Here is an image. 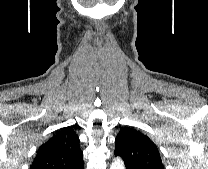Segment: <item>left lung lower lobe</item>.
I'll list each match as a JSON object with an SVG mask.
<instances>
[{
  "label": "left lung lower lobe",
  "instance_id": "1",
  "mask_svg": "<svg viewBox=\"0 0 208 169\" xmlns=\"http://www.w3.org/2000/svg\"><path fill=\"white\" fill-rule=\"evenodd\" d=\"M114 154H115V156H119V155L116 154V153H114ZM124 163H125L126 169H132L125 161H124Z\"/></svg>",
  "mask_w": 208,
  "mask_h": 169
}]
</instances>
